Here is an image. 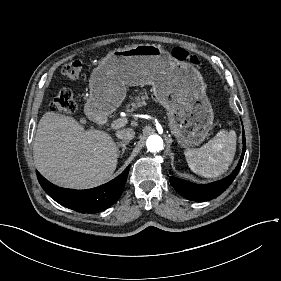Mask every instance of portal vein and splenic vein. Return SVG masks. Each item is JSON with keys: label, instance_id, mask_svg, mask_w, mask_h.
I'll return each mask as SVG.
<instances>
[{"label": "portal vein and splenic vein", "instance_id": "obj_1", "mask_svg": "<svg viewBox=\"0 0 281 281\" xmlns=\"http://www.w3.org/2000/svg\"><path fill=\"white\" fill-rule=\"evenodd\" d=\"M127 121H128L127 117H124L123 119L119 118V119L115 120L112 124H109L107 126V129L109 131H112L114 128L119 127V126L125 127L127 125Z\"/></svg>", "mask_w": 281, "mask_h": 281}]
</instances>
